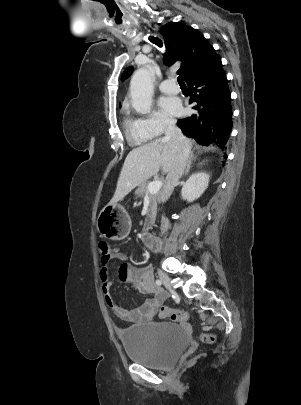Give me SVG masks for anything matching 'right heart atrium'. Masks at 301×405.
Segmentation results:
<instances>
[{
    "label": "right heart atrium",
    "mask_w": 301,
    "mask_h": 405,
    "mask_svg": "<svg viewBox=\"0 0 301 405\" xmlns=\"http://www.w3.org/2000/svg\"><path fill=\"white\" fill-rule=\"evenodd\" d=\"M142 125L153 136H158L164 133L167 129L174 125V119L159 111H153L149 115L140 119Z\"/></svg>",
    "instance_id": "1"
}]
</instances>
